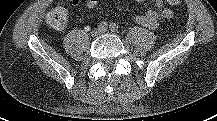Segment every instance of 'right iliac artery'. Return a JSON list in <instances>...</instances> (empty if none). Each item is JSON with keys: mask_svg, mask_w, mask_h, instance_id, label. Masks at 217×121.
Instances as JSON below:
<instances>
[{"mask_svg": "<svg viewBox=\"0 0 217 121\" xmlns=\"http://www.w3.org/2000/svg\"><path fill=\"white\" fill-rule=\"evenodd\" d=\"M107 27H108L107 22H102V23L100 24V26H99V29H100V30H105V29H107Z\"/></svg>", "mask_w": 217, "mask_h": 121, "instance_id": "1", "label": "right iliac artery"}]
</instances>
